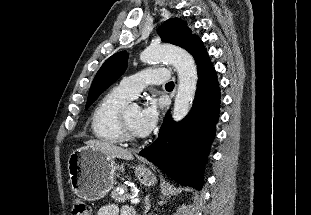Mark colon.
<instances>
[{
  "label": "colon",
  "mask_w": 311,
  "mask_h": 215,
  "mask_svg": "<svg viewBox=\"0 0 311 215\" xmlns=\"http://www.w3.org/2000/svg\"><path fill=\"white\" fill-rule=\"evenodd\" d=\"M72 215H91L89 205L82 199H74L72 203Z\"/></svg>",
  "instance_id": "obj_1"
}]
</instances>
